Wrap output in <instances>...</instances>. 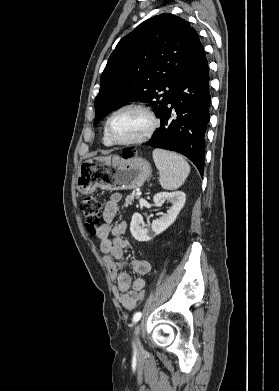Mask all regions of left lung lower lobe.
Wrapping results in <instances>:
<instances>
[{
	"mask_svg": "<svg viewBox=\"0 0 279 391\" xmlns=\"http://www.w3.org/2000/svg\"><path fill=\"white\" fill-rule=\"evenodd\" d=\"M210 101L209 68L202 50L191 70L173 90L160 115L161 126L146 145L185 155L203 175ZM123 155L129 156L126 152Z\"/></svg>",
	"mask_w": 279,
	"mask_h": 391,
	"instance_id": "obj_1",
	"label": "left lung lower lobe"
}]
</instances>
